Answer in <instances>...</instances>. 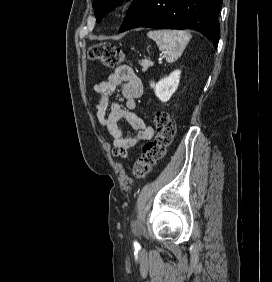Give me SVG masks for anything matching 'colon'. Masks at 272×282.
<instances>
[{
  "label": "colon",
  "mask_w": 272,
  "mask_h": 282,
  "mask_svg": "<svg viewBox=\"0 0 272 282\" xmlns=\"http://www.w3.org/2000/svg\"><path fill=\"white\" fill-rule=\"evenodd\" d=\"M88 58L107 67H116L124 59L123 51L110 43L92 45ZM156 137L143 147L141 156L134 162L132 172L136 177L146 176L153 167L164 158L168 147L175 137V124L165 112H159L154 117Z\"/></svg>",
  "instance_id": "obj_1"
}]
</instances>
